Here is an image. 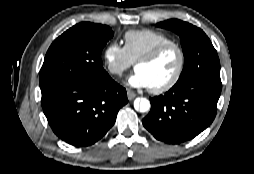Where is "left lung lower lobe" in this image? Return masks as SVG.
<instances>
[{"mask_svg":"<svg viewBox=\"0 0 254 174\" xmlns=\"http://www.w3.org/2000/svg\"><path fill=\"white\" fill-rule=\"evenodd\" d=\"M221 88L220 79L174 85L165 95L150 98L151 110L142 123L157 140L169 144L190 140L213 122Z\"/></svg>","mask_w":254,"mask_h":174,"instance_id":"1","label":"left lung lower lobe"}]
</instances>
